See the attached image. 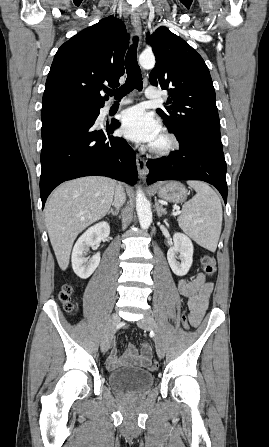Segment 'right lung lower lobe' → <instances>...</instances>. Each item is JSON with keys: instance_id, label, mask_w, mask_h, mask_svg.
Returning <instances> with one entry per match:
<instances>
[{"instance_id": "1", "label": "right lung lower lobe", "mask_w": 269, "mask_h": 447, "mask_svg": "<svg viewBox=\"0 0 269 447\" xmlns=\"http://www.w3.org/2000/svg\"><path fill=\"white\" fill-rule=\"evenodd\" d=\"M82 104L95 103L42 109V208L51 191L66 180L99 175L130 185L137 181L135 152L124 139L110 136L120 123L115 120L104 130H93L100 112H81Z\"/></svg>"}]
</instances>
